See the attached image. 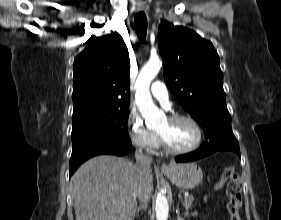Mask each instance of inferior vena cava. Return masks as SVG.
I'll list each match as a JSON object with an SVG mask.
<instances>
[{
  "instance_id": "602c4592",
  "label": "inferior vena cava",
  "mask_w": 281,
  "mask_h": 220,
  "mask_svg": "<svg viewBox=\"0 0 281 220\" xmlns=\"http://www.w3.org/2000/svg\"><path fill=\"white\" fill-rule=\"evenodd\" d=\"M136 165L139 168L141 175L137 185V197L142 205L148 204L153 186L151 180L146 177L150 171L152 158L144 155L142 152H135Z\"/></svg>"
}]
</instances>
